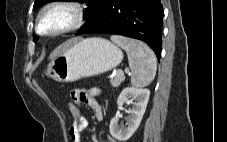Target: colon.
I'll use <instances>...</instances> for the list:
<instances>
[{
	"label": "colon",
	"instance_id": "colon-1",
	"mask_svg": "<svg viewBox=\"0 0 227 142\" xmlns=\"http://www.w3.org/2000/svg\"><path fill=\"white\" fill-rule=\"evenodd\" d=\"M68 109L73 118V122H79L84 117L79 107L74 103H68Z\"/></svg>",
	"mask_w": 227,
	"mask_h": 142
}]
</instances>
